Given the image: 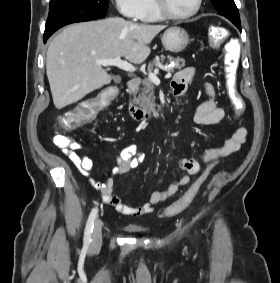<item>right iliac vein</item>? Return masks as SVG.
Masks as SVG:
<instances>
[{"label": "right iliac vein", "mask_w": 280, "mask_h": 283, "mask_svg": "<svg viewBox=\"0 0 280 283\" xmlns=\"http://www.w3.org/2000/svg\"><path fill=\"white\" fill-rule=\"evenodd\" d=\"M102 243V223L101 220L97 219L94 224V229L92 233L91 248L97 249Z\"/></svg>", "instance_id": "63e3f726"}]
</instances>
